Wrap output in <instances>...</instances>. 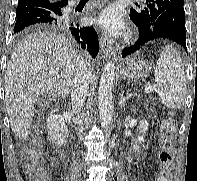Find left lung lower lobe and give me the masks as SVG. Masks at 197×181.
Returning a JSON list of instances; mask_svg holds the SVG:
<instances>
[{"label": "left lung lower lobe", "mask_w": 197, "mask_h": 181, "mask_svg": "<svg viewBox=\"0 0 197 181\" xmlns=\"http://www.w3.org/2000/svg\"><path fill=\"white\" fill-rule=\"evenodd\" d=\"M134 24L139 28V38L134 45L123 49L122 57L136 52L145 43L159 38L170 39L187 51L184 8L176 7L166 10L156 18L149 28Z\"/></svg>", "instance_id": "0a47b994"}]
</instances>
